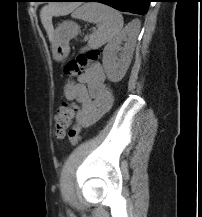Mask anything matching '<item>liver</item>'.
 Here are the masks:
<instances>
[{
    "label": "liver",
    "mask_w": 202,
    "mask_h": 217,
    "mask_svg": "<svg viewBox=\"0 0 202 217\" xmlns=\"http://www.w3.org/2000/svg\"><path fill=\"white\" fill-rule=\"evenodd\" d=\"M75 4H51L43 7L40 12L41 22L47 31L49 39L53 40V16H63L71 13L75 9Z\"/></svg>",
    "instance_id": "1"
}]
</instances>
